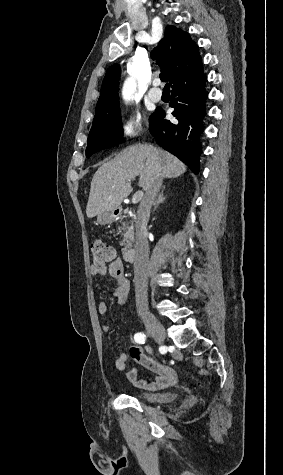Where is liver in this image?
I'll list each match as a JSON object with an SVG mask.
<instances>
[{
	"instance_id": "liver-1",
	"label": "liver",
	"mask_w": 283,
	"mask_h": 475,
	"mask_svg": "<svg viewBox=\"0 0 283 475\" xmlns=\"http://www.w3.org/2000/svg\"><path fill=\"white\" fill-rule=\"evenodd\" d=\"M184 172L185 164L165 150H158L149 144L128 146L111 162L100 166L94 174L86 208L87 218L118 210L123 200L131 194V180L136 176H140L139 186L146 190L154 176L178 178Z\"/></svg>"
}]
</instances>
